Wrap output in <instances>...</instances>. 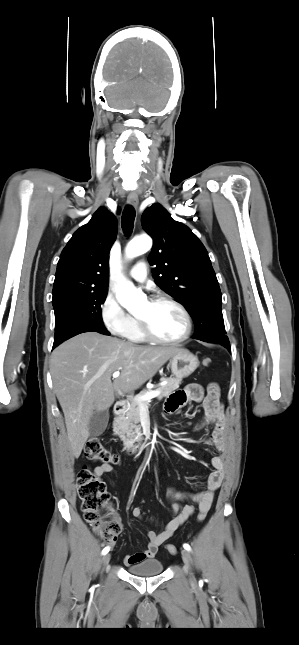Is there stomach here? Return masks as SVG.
Here are the masks:
<instances>
[{"label": "stomach", "instance_id": "1", "mask_svg": "<svg viewBox=\"0 0 299 645\" xmlns=\"http://www.w3.org/2000/svg\"><path fill=\"white\" fill-rule=\"evenodd\" d=\"M171 371L176 378L182 379L190 376L199 366L198 358L186 349L170 358Z\"/></svg>", "mask_w": 299, "mask_h": 645}]
</instances>
